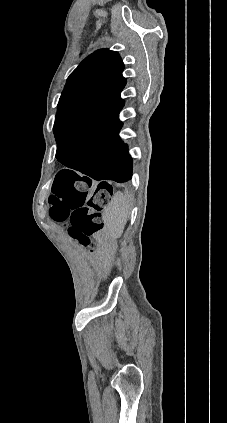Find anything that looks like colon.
<instances>
[{
  "instance_id": "obj_1",
  "label": "colon",
  "mask_w": 227,
  "mask_h": 423,
  "mask_svg": "<svg viewBox=\"0 0 227 423\" xmlns=\"http://www.w3.org/2000/svg\"><path fill=\"white\" fill-rule=\"evenodd\" d=\"M91 189L90 180L64 171L56 176L50 196L52 219L69 221V234L86 246L102 228L101 211L112 195L111 186L105 182L98 183L89 194Z\"/></svg>"
}]
</instances>
